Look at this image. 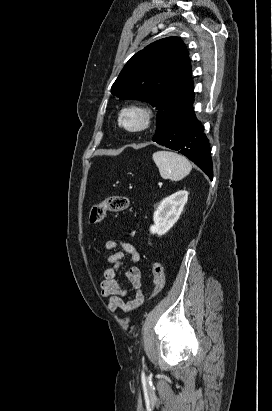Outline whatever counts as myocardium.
<instances>
[{
  "label": "myocardium",
  "instance_id": "myocardium-1",
  "mask_svg": "<svg viewBox=\"0 0 272 411\" xmlns=\"http://www.w3.org/2000/svg\"><path fill=\"white\" fill-rule=\"evenodd\" d=\"M135 114L139 117V122L136 125H130L127 122V116ZM154 113L151 108L144 105H130L123 109L119 115L120 126L131 133H141L153 125Z\"/></svg>",
  "mask_w": 272,
  "mask_h": 411
}]
</instances>
